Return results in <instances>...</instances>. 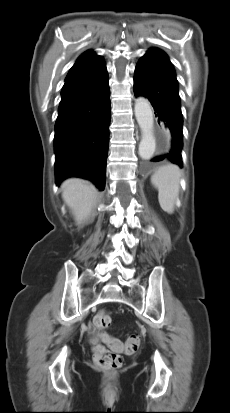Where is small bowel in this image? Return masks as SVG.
<instances>
[{
    "instance_id": "c3829d8e",
    "label": "small bowel",
    "mask_w": 230,
    "mask_h": 413,
    "mask_svg": "<svg viewBox=\"0 0 230 413\" xmlns=\"http://www.w3.org/2000/svg\"><path fill=\"white\" fill-rule=\"evenodd\" d=\"M88 329H89V333H90V334H94V333L96 332L95 326H94L93 324H89ZM98 337L101 339L102 342L107 343V344H109L110 346H112V345H111V341L113 340V338H111L108 334H106V333H99V334H98ZM115 340H116V339H115ZM116 341L119 343L118 340H116Z\"/></svg>"
}]
</instances>
